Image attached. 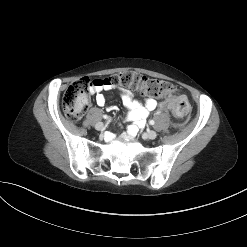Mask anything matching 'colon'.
<instances>
[{"label":"colon","mask_w":247,"mask_h":247,"mask_svg":"<svg viewBox=\"0 0 247 247\" xmlns=\"http://www.w3.org/2000/svg\"><path fill=\"white\" fill-rule=\"evenodd\" d=\"M106 83L113 86L133 87L152 96L167 95L163 105L171 109L178 118H183L188 112V103L184 96H174L171 93L174 86L165 80L148 78L133 71H127L110 76L107 79L81 78L73 82L63 97V110L72 121H78L88 108V93L93 85Z\"/></svg>","instance_id":"1"}]
</instances>
